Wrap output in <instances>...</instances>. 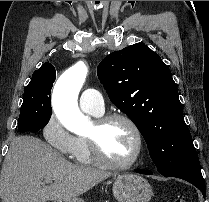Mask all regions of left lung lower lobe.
Masks as SVG:
<instances>
[{
	"label": "left lung lower lobe",
	"mask_w": 209,
	"mask_h": 202,
	"mask_svg": "<svg viewBox=\"0 0 209 202\" xmlns=\"http://www.w3.org/2000/svg\"><path fill=\"white\" fill-rule=\"evenodd\" d=\"M136 172L142 174H152L151 171L148 170H137ZM164 177H177L183 180H186L196 186L203 194V197L206 196V187L205 181L201 173V167L198 157L189 161L184 167L181 169L171 173L164 174Z\"/></svg>",
	"instance_id": "left-lung-lower-lobe-1"
}]
</instances>
